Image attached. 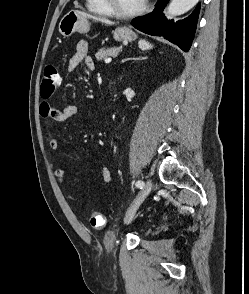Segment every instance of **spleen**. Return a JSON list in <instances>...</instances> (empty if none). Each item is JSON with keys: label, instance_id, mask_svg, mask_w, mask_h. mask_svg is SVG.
Segmentation results:
<instances>
[{"label": "spleen", "instance_id": "1", "mask_svg": "<svg viewBox=\"0 0 249 294\" xmlns=\"http://www.w3.org/2000/svg\"><path fill=\"white\" fill-rule=\"evenodd\" d=\"M139 47L142 50H149V49H152L153 48V46L149 42H147L145 40H140L139 41Z\"/></svg>", "mask_w": 249, "mask_h": 294}]
</instances>
